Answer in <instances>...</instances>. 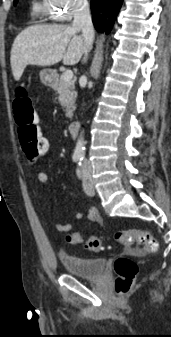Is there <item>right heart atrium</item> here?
I'll list each match as a JSON object with an SVG mask.
<instances>
[{
  "mask_svg": "<svg viewBox=\"0 0 171 337\" xmlns=\"http://www.w3.org/2000/svg\"><path fill=\"white\" fill-rule=\"evenodd\" d=\"M45 2L48 15L61 22L70 21L87 5V0H45Z\"/></svg>",
  "mask_w": 171,
  "mask_h": 337,
  "instance_id": "right-heart-atrium-1",
  "label": "right heart atrium"
}]
</instances>
